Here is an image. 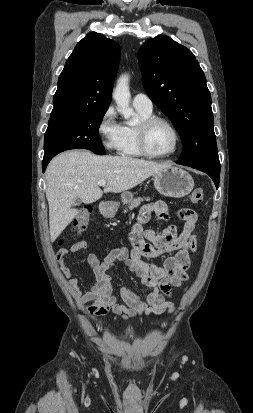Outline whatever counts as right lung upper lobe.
Masks as SVG:
<instances>
[{
    "mask_svg": "<svg viewBox=\"0 0 253 413\" xmlns=\"http://www.w3.org/2000/svg\"><path fill=\"white\" fill-rule=\"evenodd\" d=\"M120 46L100 33L80 40L64 66L51 116L107 110L118 71Z\"/></svg>",
    "mask_w": 253,
    "mask_h": 413,
    "instance_id": "cb5924a9",
    "label": "right lung upper lobe"
}]
</instances>
